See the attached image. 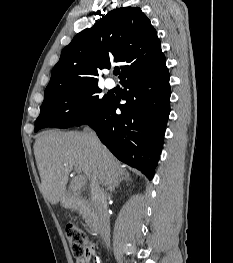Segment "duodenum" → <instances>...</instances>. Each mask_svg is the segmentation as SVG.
Wrapping results in <instances>:
<instances>
[{
    "label": "duodenum",
    "instance_id": "1",
    "mask_svg": "<svg viewBox=\"0 0 233 263\" xmlns=\"http://www.w3.org/2000/svg\"><path fill=\"white\" fill-rule=\"evenodd\" d=\"M66 205L70 209L74 210H83L85 212L86 218L89 223L90 230L98 235L101 231V223L99 220V215L96 210L90 208L83 198L66 196L65 198Z\"/></svg>",
    "mask_w": 233,
    "mask_h": 263
}]
</instances>
